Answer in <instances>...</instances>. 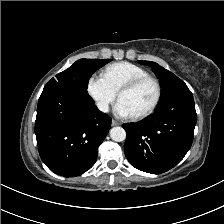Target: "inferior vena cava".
Instances as JSON below:
<instances>
[{"instance_id":"obj_1","label":"inferior vena cava","mask_w":224,"mask_h":224,"mask_svg":"<svg viewBox=\"0 0 224 224\" xmlns=\"http://www.w3.org/2000/svg\"><path fill=\"white\" fill-rule=\"evenodd\" d=\"M97 107L100 111L104 112V113H107L109 112V105L107 102H99L97 104Z\"/></svg>"}]
</instances>
